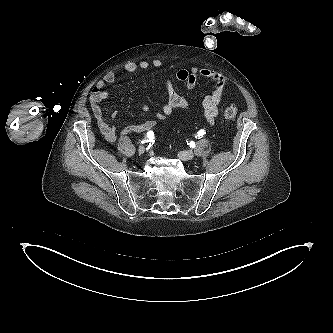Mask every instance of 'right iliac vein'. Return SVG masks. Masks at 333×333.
I'll return each instance as SVG.
<instances>
[{
  "instance_id": "obj_1",
  "label": "right iliac vein",
  "mask_w": 333,
  "mask_h": 333,
  "mask_svg": "<svg viewBox=\"0 0 333 333\" xmlns=\"http://www.w3.org/2000/svg\"><path fill=\"white\" fill-rule=\"evenodd\" d=\"M145 152V147L144 146H140L139 148H138V153L139 154H143Z\"/></svg>"
}]
</instances>
